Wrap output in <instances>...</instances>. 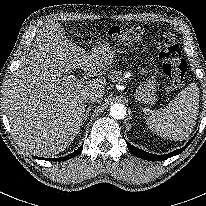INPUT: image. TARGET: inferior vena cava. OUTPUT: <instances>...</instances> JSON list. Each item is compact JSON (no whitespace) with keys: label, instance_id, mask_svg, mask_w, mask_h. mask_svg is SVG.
<instances>
[{"label":"inferior vena cava","instance_id":"1","mask_svg":"<svg viewBox=\"0 0 206 206\" xmlns=\"http://www.w3.org/2000/svg\"><path fill=\"white\" fill-rule=\"evenodd\" d=\"M85 99H86V100H89L90 102H97V103L101 102V99H99V98L97 97V95H93V94H87V95L85 96Z\"/></svg>","mask_w":206,"mask_h":206}]
</instances>
